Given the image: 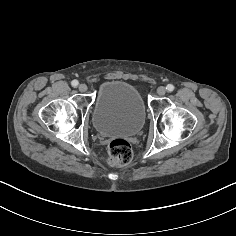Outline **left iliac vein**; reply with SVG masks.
<instances>
[{"label": "left iliac vein", "mask_w": 236, "mask_h": 236, "mask_svg": "<svg viewBox=\"0 0 236 236\" xmlns=\"http://www.w3.org/2000/svg\"><path fill=\"white\" fill-rule=\"evenodd\" d=\"M165 93H166L165 87H163V86L158 87V89H157V94H158L159 96H164Z\"/></svg>", "instance_id": "4c4485c4"}]
</instances>
